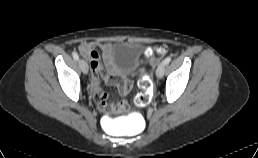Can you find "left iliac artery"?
Returning a JSON list of instances; mask_svg holds the SVG:
<instances>
[{
  "label": "left iliac artery",
  "mask_w": 258,
  "mask_h": 158,
  "mask_svg": "<svg viewBox=\"0 0 258 158\" xmlns=\"http://www.w3.org/2000/svg\"><path fill=\"white\" fill-rule=\"evenodd\" d=\"M170 61H171V57L168 56L167 58H165V60L163 61V63H164L165 65H167Z\"/></svg>",
  "instance_id": "left-iliac-artery-1"
}]
</instances>
